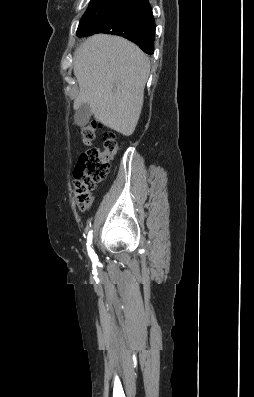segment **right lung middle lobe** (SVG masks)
Here are the masks:
<instances>
[{
	"instance_id": "right-lung-middle-lobe-1",
	"label": "right lung middle lobe",
	"mask_w": 254,
	"mask_h": 397,
	"mask_svg": "<svg viewBox=\"0 0 254 397\" xmlns=\"http://www.w3.org/2000/svg\"><path fill=\"white\" fill-rule=\"evenodd\" d=\"M106 0H91L88 9L82 16L78 29L81 28L85 23H87L100 9Z\"/></svg>"
}]
</instances>
